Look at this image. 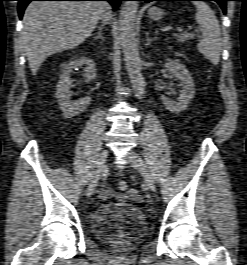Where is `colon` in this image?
I'll use <instances>...</instances> for the list:
<instances>
[{"instance_id": "colon-1", "label": "colon", "mask_w": 247, "mask_h": 265, "mask_svg": "<svg viewBox=\"0 0 247 265\" xmlns=\"http://www.w3.org/2000/svg\"><path fill=\"white\" fill-rule=\"evenodd\" d=\"M118 188H119V190H121V191H126L127 190V188H128V185H127V183L125 182V181H120L119 183H118Z\"/></svg>"}]
</instances>
